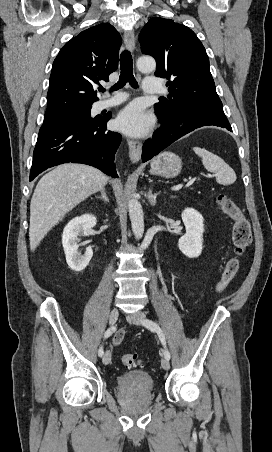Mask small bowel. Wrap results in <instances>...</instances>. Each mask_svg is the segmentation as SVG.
<instances>
[{
  "instance_id": "obj_1",
  "label": "small bowel",
  "mask_w": 272,
  "mask_h": 452,
  "mask_svg": "<svg viewBox=\"0 0 272 452\" xmlns=\"http://www.w3.org/2000/svg\"><path fill=\"white\" fill-rule=\"evenodd\" d=\"M124 334H125V332H124L123 330H119V331L115 334V336H114V338H113V345H114V346H118V345L121 344V342L123 341V338H124Z\"/></svg>"
}]
</instances>
